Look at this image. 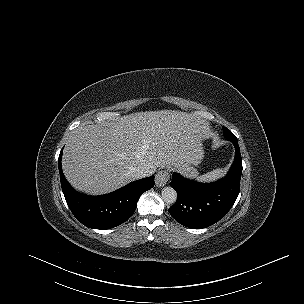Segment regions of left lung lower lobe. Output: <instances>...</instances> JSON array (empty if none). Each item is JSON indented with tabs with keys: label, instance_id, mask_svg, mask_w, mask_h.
Here are the masks:
<instances>
[{
	"label": "left lung lower lobe",
	"instance_id": "1",
	"mask_svg": "<svg viewBox=\"0 0 304 304\" xmlns=\"http://www.w3.org/2000/svg\"><path fill=\"white\" fill-rule=\"evenodd\" d=\"M234 162L225 178L214 183H199L172 175L170 186L177 192L176 203L169 208L180 224L193 229L209 227L221 220L235 203L240 191L242 158L237 141Z\"/></svg>",
	"mask_w": 304,
	"mask_h": 304
}]
</instances>
